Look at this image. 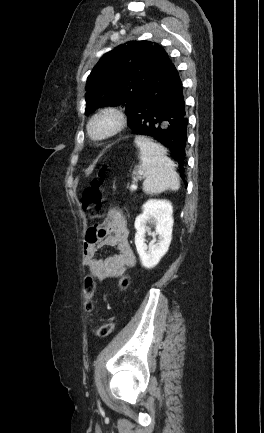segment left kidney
<instances>
[{
	"label": "left kidney",
	"mask_w": 264,
	"mask_h": 433,
	"mask_svg": "<svg viewBox=\"0 0 264 433\" xmlns=\"http://www.w3.org/2000/svg\"><path fill=\"white\" fill-rule=\"evenodd\" d=\"M143 212L135 220V245L141 264L146 269L154 268L167 253L173 227V208L167 200L150 199L142 206ZM147 223L155 225L158 241L149 246L145 243V234L149 230Z\"/></svg>",
	"instance_id": "5707ae66"
}]
</instances>
